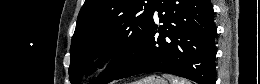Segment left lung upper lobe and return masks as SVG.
<instances>
[{"label":"left lung upper lobe","mask_w":260,"mask_h":84,"mask_svg":"<svg viewBox=\"0 0 260 84\" xmlns=\"http://www.w3.org/2000/svg\"><path fill=\"white\" fill-rule=\"evenodd\" d=\"M155 0H86L72 37L69 79L79 84L93 60L112 55L109 67L93 84H105L136 56L154 14Z\"/></svg>","instance_id":"5c2ea615"}]
</instances>
